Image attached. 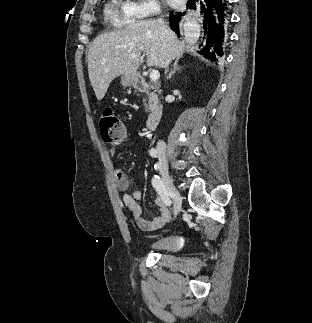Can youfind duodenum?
I'll list each match as a JSON object with an SVG mask.
<instances>
[{"label": "duodenum", "instance_id": "obj_1", "mask_svg": "<svg viewBox=\"0 0 312 323\" xmlns=\"http://www.w3.org/2000/svg\"><path fill=\"white\" fill-rule=\"evenodd\" d=\"M131 83L134 87L146 90L149 88V85L152 84V111L146 120V128L148 130H153L160 122V119L163 114L164 105L162 103L163 91L158 87V84L155 82L150 83L141 73H134L131 76Z\"/></svg>", "mask_w": 312, "mask_h": 323}]
</instances>
